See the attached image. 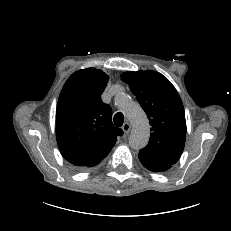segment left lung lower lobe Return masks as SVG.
<instances>
[{
	"label": "left lung lower lobe",
	"instance_id": "1",
	"mask_svg": "<svg viewBox=\"0 0 231 231\" xmlns=\"http://www.w3.org/2000/svg\"><path fill=\"white\" fill-rule=\"evenodd\" d=\"M138 157H139L141 164L150 171L163 172V171H166L169 168H171V165L150 162V161L144 159L143 157H141L140 155H138Z\"/></svg>",
	"mask_w": 231,
	"mask_h": 231
}]
</instances>
